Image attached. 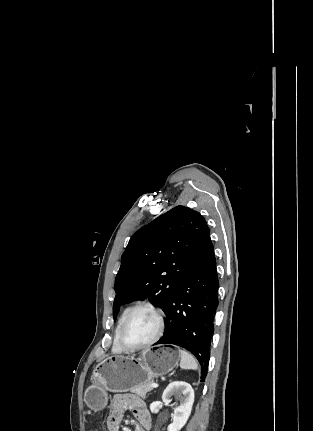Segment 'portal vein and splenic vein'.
<instances>
[{
    "label": "portal vein and splenic vein",
    "instance_id": "1",
    "mask_svg": "<svg viewBox=\"0 0 313 431\" xmlns=\"http://www.w3.org/2000/svg\"><path fill=\"white\" fill-rule=\"evenodd\" d=\"M150 387H152V388H157V387H158V384H156V383H151V384H150Z\"/></svg>",
    "mask_w": 313,
    "mask_h": 431
}]
</instances>
